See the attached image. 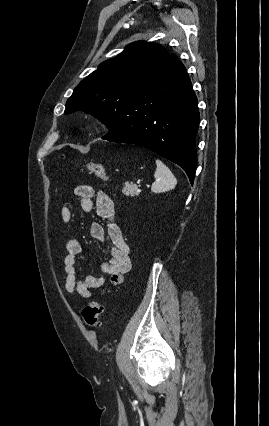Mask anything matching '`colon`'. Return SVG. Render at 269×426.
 I'll use <instances>...</instances> for the list:
<instances>
[{"mask_svg":"<svg viewBox=\"0 0 269 426\" xmlns=\"http://www.w3.org/2000/svg\"><path fill=\"white\" fill-rule=\"evenodd\" d=\"M84 168L88 173L95 175L100 179H107L105 167L101 163L88 162ZM102 314L103 305L98 299L90 300L82 310L83 319L90 327L99 326Z\"/></svg>","mask_w":269,"mask_h":426,"instance_id":"colon-1","label":"colon"}]
</instances>
